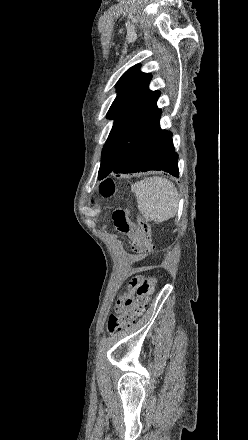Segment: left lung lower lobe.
<instances>
[{
    "label": "left lung lower lobe",
    "instance_id": "obj_1",
    "mask_svg": "<svg viewBox=\"0 0 248 440\" xmlns=\"http://www.w3.org/2000/svg\"><path fill=\"white\" fill-rule=\"evenodd\" d=\"M149 170H163L179 177L178 155L174 151L171 132L159 128L131 148L112 172L125 174Z\"/></svg>",
    "mask_w": 248,
    "mask_h": 440
}]
</instances>
